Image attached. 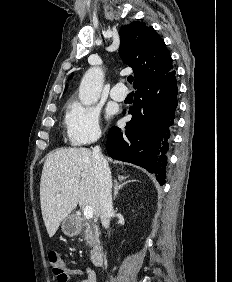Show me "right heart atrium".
<instances>
[{"instance_id":"obj_1","label":"right heart atrium","mask_w":232,"mask_h":282,"mask_svg":"<svg viewBox=\"0 0 232 282\" xmlns=\"http://www.w3.org/2000/svg\"><path fill=\"white\" fill-rule=\"evenodd\" d=\"M65 125L68 140L74 146L90 144L101 135L99 111L80 102L69 105Z\"/></svg>"}]
</instances>
